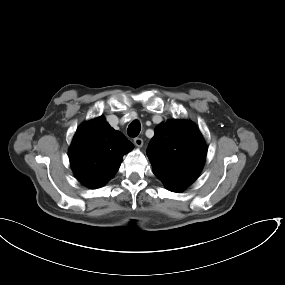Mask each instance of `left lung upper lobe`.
Returning a JSON list of instances; mask_svg holds the SVG:
<instances>
[{
    "label": "left lung upper lobe",
    "mask_w": 285,
    "mask_h": 285,
    "mask_svg": "<svg viewBox=\"0 0 285 285\" xmlns=\"http://www.w3.org/2000/svg\"><path fill=\"white\" fill-rule=\"evenodd\" d=\"M147 156L161 181L190 185L199 176L207 147L196 125L185 120H168L154 131Z\"/></svg>",
    "instance_id": "5c2ea615"
}]
</instances>
